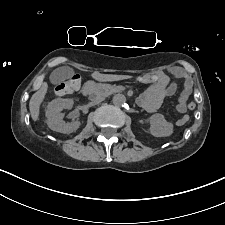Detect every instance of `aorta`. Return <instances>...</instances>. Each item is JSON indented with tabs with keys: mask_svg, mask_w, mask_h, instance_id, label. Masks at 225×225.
Segmentation results:
<instances>
[{
	"mask_svg": "<svg viewBox=\"0 0 225 225\" xmlns=\"http://www.w3.org/2000/svg\"><path fill=\"white\" fill-rule=\"evenodd\" d=\"M112 102L115 106L121 107L126 103V97L125 95L118 93L114 95Z\"/></svg>",
	"mask_w": 225,
	"mask_h": 225,
	"instance_id": "aorta-1",
	"label": "aorta"
}]
</instances>
